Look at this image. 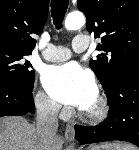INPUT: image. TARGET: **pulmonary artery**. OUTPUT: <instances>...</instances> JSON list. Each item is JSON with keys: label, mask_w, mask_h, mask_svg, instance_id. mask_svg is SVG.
<instances>
[{"label": "pulmonary artery", "mask_w": 139, "mask_h": 150, "mask_svg": "<svg viewBox=\"0 0 139 150\" xmlns=\"http://www.w3.org/2000/svg\"><path fill=\"white\" fill-rule=\"evenodd\" d=\"M89 47V38L85 35H78L72 43V50L76 53L85 51ZM42 56L52 62H61L68 60L72 56V51L64 46L48 45Z\"/></svg>", "instance_id": "obj_1"}]
</instances>
